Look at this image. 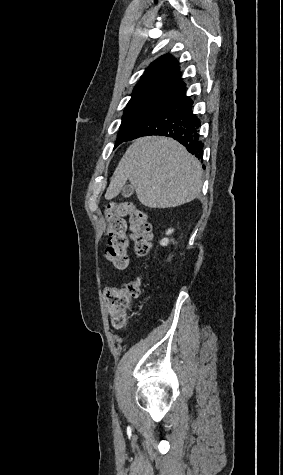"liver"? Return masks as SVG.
Instances as JSON below:
<instances>
[{
    "mask_svg": "<svg viewBox=\"0 0 283 475\" xmlns=\"http://www.w3.org/2000/svg\"><path fill=\"white\" fill-rule=\"evenodd\" d=\"M202 166L176 140L163 136L138 138L122 156L105 194L112 200L129 180L147 208H175L200 194Z\"/></svg>",
    "mask_w": 283,
    "mask_h": 475,
    "instance_id": "obj_1",
    "label": "liver"
}]
</instances>
